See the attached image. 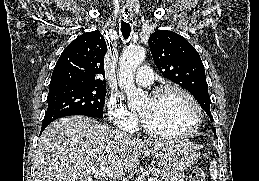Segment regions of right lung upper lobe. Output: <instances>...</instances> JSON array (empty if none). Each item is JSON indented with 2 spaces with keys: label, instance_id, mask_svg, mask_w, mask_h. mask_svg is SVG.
<instances>
[{
  "label": "right lung upper lobe",
  "instance_id": "cb5924a9",
  "mask_svg": "<svg viewBox=\"0 0 259 181\" xmlns=\"http://www.w3.org/2000/svg\"><path fill=\"white\" fill-rule=\"evenodd\" d=\"M106 51L105 39L98 30L80 35L61 53L50 86L73 84L106 87Z\"/></svg>",
  "mask_w": 259,
  "mask_h": 181
}]
</instances>
